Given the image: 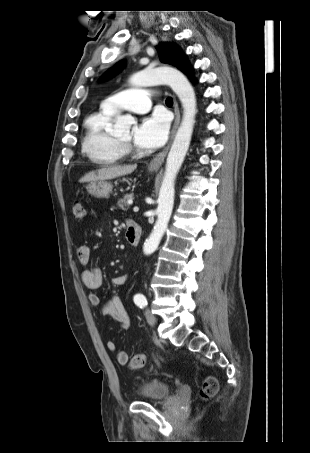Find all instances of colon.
Returning <instances> with one entry per match:
<instances>
[{"instance_id": "5ec220e1", "label": "colon", "mask_w": 310, "mask_h": 453, "mask_svg": "<svg viewBox=\"0 0 310 453\" xmlns=\"http://www.w3.org/2000/svg\"><path fill=\"white\" fill-rule=\"evenodd\" d=\"M85 216L84 205L77 201L73 204V217L77 220L83 219ZM146 363V357L143 353L135 354L129 364L131 369L142 368ZM218 391V381L215 377H206L200 387V396L203 399H210L216 395Z\"/></svg>"}]
</instances>
